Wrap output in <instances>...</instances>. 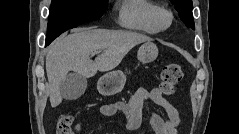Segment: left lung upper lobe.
Instances as JSON below:
<instances>
[{
	"label": "left lung upper lobe",
	"instance_id": "1",
	"mask_svg": "<svg viewBox=\"0 0 239 134\" xmlns=\"http://www.w3.org/2000/svg\"><path fill=\"white\" fill-rule=\"evenodd\" d=\"M178 11L179 17L187 27L195 29L192 14V0H171Z\"/></svg>",
	"mask_w": 239,
	"mask_h": 134
}]
</instances>
